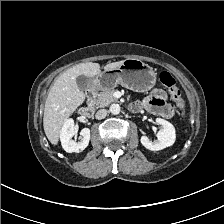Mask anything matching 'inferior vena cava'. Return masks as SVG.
<instances>
[{"label":"inferior vena cava","mask_w":224,"mask_h":224,"mask_svg":"<svg viewBox=\"0 0 224 224\" xmlns=\"http://www.w3.org/2000/svg\"><path fill=\"white\" fill-rule=\"evenodd\" d=\"M107 115V110L106 109H100L96 112V119L100 120V119H103L105 118Z\"/></svg>","instance_id":"inferior-vena-cava-1"}]
</instances>
